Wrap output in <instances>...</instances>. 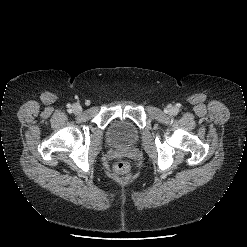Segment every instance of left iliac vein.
Wrapping results in <instances>:
<instances>
[{"instance_id":"4c4485c4","label":"left iliac vein","mask_w":247,"mask_h":247,"mask_svg":"<svg viewBox=\"0 0 247 247\" xmlns=\"http://www.w3.org/2000/svg\"><path fill=\"white\" fill-rule=\"evenodd\" d=\"M173 111H174L173 108H169V109H168V112H169V113H173Z\"/></svg>"}]
</instances>
